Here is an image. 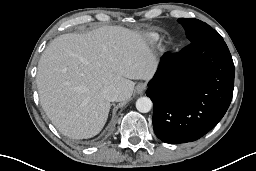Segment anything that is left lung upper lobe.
Masks as SVG:
<instances>
[{
    "instance_id": "1",
    "label": "left lung upper lobe",
    "mask_w": 256,
    "mask_h": 171,
    "mask_svg": "<svg viewBox=\"0 0 256 171\" xmlns=\"http://www.w3.org/2000/svg\"><path fill=\"white\" fill-rule=\"evenodd\" d=\"M178 21L185 28L190 43L204 40H223L216 30L198 19L179 18Z\"/></svg>"
}]
</instances>
